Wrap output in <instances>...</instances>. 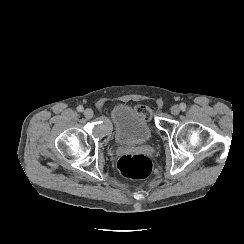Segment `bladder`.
I'll return each mask as SVG.
<instances>
[{
    "label": "bladder",
    "instance_id": "obj_1",
    "mask_svg": "<svg viewBox=\"0 0 244 244\" xmlns=\"http://www.w3.org/2000/svg\"><path fill=\"white\" fill-rule=\"evenodd\" d=\"M112 121L114 137L119 145H142L150 142L152 129L142 120L135 110L127 105H118L113 109Z\"/></svg>",
    "mask_w": 244,
    "mask_h": 244
}]
</instances>
